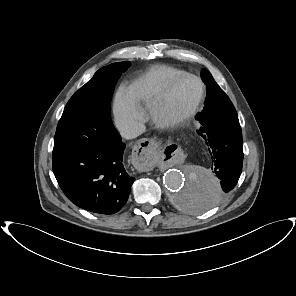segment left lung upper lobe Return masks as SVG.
Wrapping results in <instances>:
<instances>
[{
  "label": "left lung upper lobe",
  "instance_id": "obj_1",
  "mask_svg": "<svg viewBox=\"0 0 296 296\" xmlns=\"http://www.w3.org/2000/svg\"><path fill=\"white\" fill-rule=\"evenodd\" d=\"M201 78L207 86V97L205 99V106L211 103L213 99L219 97L224 93L223 90L219 88V85L213 79L211 73L206 69H203L201 72Z\"/></svg>",
  "mask_w": 296,
  "mask_h": 296
}]
</instances>
